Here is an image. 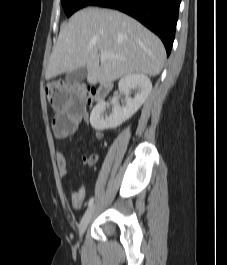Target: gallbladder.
I'll return each mask as SVG.
<instances>
[{"instance_id": "obj_1", "label": "gallbladder", "mask_w": 227, "mask_h": 265, "mask_svg": "<svg viewBox=\"0 0 227 265\" xmlns=\"http://www.w3.org/2000/svg\"><path fill=\"white\" fill-rule=\"evenodd\" d=\"M87 76V68L85 66L79 67L66 74V81L68 83H78L85 79Z\"/></svg>"}]
</instances>
